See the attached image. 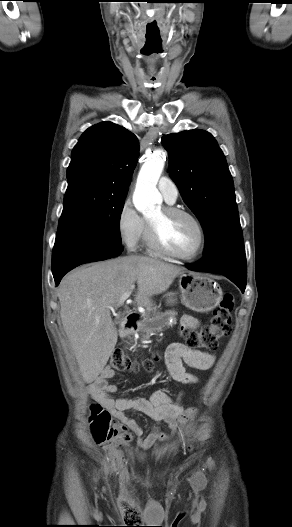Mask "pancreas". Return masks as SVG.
<instances>
[{
  "label": "pancreas",
  "instance_id": "1",
  "mask_svg": "<svg viewBox=\"0 0 292 527\" xmlns=\"http://www.w3.org/2000/svg\"><path fill=\"white\" fill-rule=\"evenodd\" d=\"M177 312L169 310L164 313H157L149 320L142 321L139 331L142 339L147 338L152 332L160 331L166 326H172L176 324Z\"/></svg>",
  "mask_w": 292,
  "mask_h": 527
}]
</instances>
